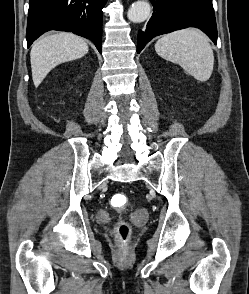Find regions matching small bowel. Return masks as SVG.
Here are the masks:
<instances>
[{
  "mask_svg": "<svg viewBox=\"0 0 249 294\" xmlns=\"http://www.w3.org/2000/svg\"><path fill=\"white\" fill-rule=\"evenodd\" d=\"M137 216H138L140 219H144V218L146 217V214H145V212L140 211V212L137 214Z\"/></svg>",
  "mask_w": 249,
  "mask_h": 294,
  "instance_id": "obj_1",
  "label": "small bowel"
}]
</instances>
